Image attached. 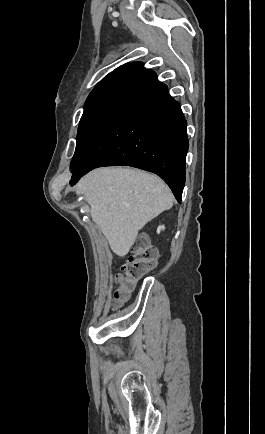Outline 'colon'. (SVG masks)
<instances>
[{
	"label": "colon",
	"instance_id": "5ec220e1",
	"mask_svg": "<svg viewBox=\"0 0 265 434\" xmlns=\"http://www.w3.org/2000/svg\"><path fill=\"white\" fill-rule=\"evenodd\" d=\"M157 264L156 249L147 244L143 236H137L128 261L122 265L115 278V305L127 299L137 279L147 275Z\"/></svg>",
	"mask_w": 265,
	"mask_h": 434
}]
</instances>
